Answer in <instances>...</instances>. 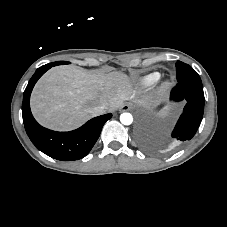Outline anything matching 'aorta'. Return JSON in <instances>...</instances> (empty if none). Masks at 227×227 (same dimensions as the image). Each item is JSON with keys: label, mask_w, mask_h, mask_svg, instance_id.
<instances>
[{"label": "aorta", "mask_w": 227, "mask_h": 227, "mask_svg": "<svg viewBox=\"0 0 227 227\" xmlns=\"http://www.w3.org/2000/svg\"><path fill=\"white\" fill-rule=\"evenodd\" d=\"M120 121L123 125H130L133 122V116L130 113H122L120 115Z\"/></svg>", "instance_id": "762f6f07"}]
</instances>
